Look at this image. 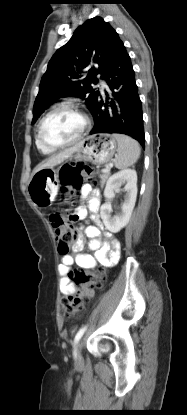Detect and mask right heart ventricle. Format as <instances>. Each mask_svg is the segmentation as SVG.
Here are the masks:
<instances>
[{
    "instance_id": "right-heart-ventricle-1",
    "label": "right heart ventricle",
    "mask_w": 187,
    "mask_h": 415,
    "mask_svg": "<svg viewBox=\"0 0 187 415\" xmlns=\"http://www.w3.org/2000/svg\"><path fill=\"white\" fill-rule=\"evenodd\" d=\"M36 146H37V148H38V150L41 152V153H43V154H45V155H49V154H52L55 150H51V149H48V148H46V147H44L40 142H39V140H38V138L36 137Z\"/></svg>"
}]
</instances>
